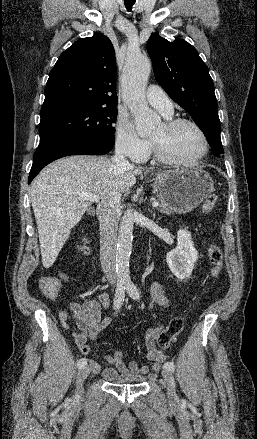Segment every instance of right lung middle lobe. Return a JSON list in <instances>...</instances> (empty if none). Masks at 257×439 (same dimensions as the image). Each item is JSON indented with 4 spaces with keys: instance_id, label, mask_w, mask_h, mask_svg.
<instances>
[{
    "instance_id": "1",
    "label": "right lung middle lobe",
    "mask_w": 257,
    "mask_h": 439,
    "mask_svg": "<svg viewBox=\"0 0 257 439\" xmlns=\"http://www.w3.org/2000/svg\"><path fill=\"white\" fill-rule=\"evenodd\" d=\"M116 106H97L70 110L40 120V142L74 135L96 138L115 144Z\"/></svg>"
}]
</instances>
